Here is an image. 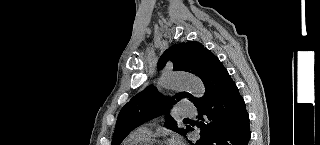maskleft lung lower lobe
I'll use <instances>...</instances> for the list:
<instances>
[{
	"instance_id": "0a47b994",
	"label": "left lung lower lobe",
	"mask_w": 320,
	"mask_h": 145,
	"mask_svg": "<svg viewBox=\"0 0 320 145\" xmlns=\"http://www.w3.org/2000/svg\"><path fill=\"white\" fill-rule=\"evenodd\" d=\"M201 80L205 94L194 103L198 110L195 125L200 139L191 145H248L251 133L245 103L229 73L217 58ZM193 130L187 127V132Z\"/></svg>"
}]
</instances>
